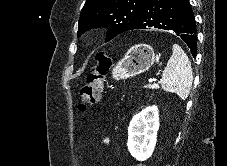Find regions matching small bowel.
I'll return each mask as SVG.
<instances>
[{"label": "small bowel", "mask_w": 227, "mask_h": 166, "mask_svg": "<svg viewBox=\"0 0 227 166\" xmlns=\"http://www.w3.org/2000/svg\"><path fill=\"white\" fill-rule=\"evenodd\" d=\"M103 142L106 143V144H108L109 143V140L108 139H104Z\"/></svg>", "instance_id": "c3829d8e"}]
</instances>
